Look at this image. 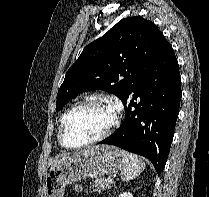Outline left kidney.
Masks as SVG:
<instances>
[{
    "instance_id": "obj_1",
    "label": "left kidney",
    "mask_w": 209,
    "mask_h": 197,
    "mask_svg": "<svg viewBox=\"0 0 209 197\" xmlns=\"http://www.w3.org/2000/svg\"><path fill=\"white\" fill-rule=\"evenodd\" d=\"M118 197H133V195L130 192H123Z\"/></svg>"
}]
</instances>
